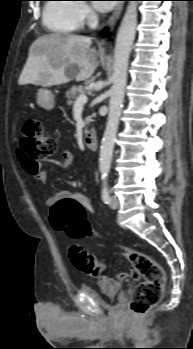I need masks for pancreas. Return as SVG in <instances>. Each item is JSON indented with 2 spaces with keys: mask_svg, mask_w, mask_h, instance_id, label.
<instances>
[{
  "mask_svg": "<svg viewBox=\"0 0 193 349\" xmlns=\"http://www.w3.org/2000/svg\"><path fill=\"white\" fill-rule=\"evenodd\" d=\"M85 93V88L82 85L73 86L68 91H66V98L68 99V105H72L80 94ZM89 118L86 119V124H89Z\"/></svg>",
  "mask_w": 193,
  "mask_h": 349,
  "instance_id": "obj_1",
  "label": "pancreas"
}]
</instances>
